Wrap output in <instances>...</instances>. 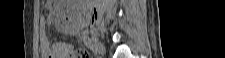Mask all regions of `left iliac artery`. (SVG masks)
Here are the masks:
<instances>
[{
	"label": "left iliac artery",
	"instance_id": "obj_1",
	"mask_svg": "<svg viewBox=\"0 0 225 58\" xmlns=\"http://www.w3.org/2000/svg\"><path fill=\"white\" fill-rule=\"evenodd\" d=\"M83 41L87 47L91 48V41L90 38L87 36V34L84 35Z\"/></svg>",
	"mask_w": 225,
	"mask_h": 58
}]
</instances>
